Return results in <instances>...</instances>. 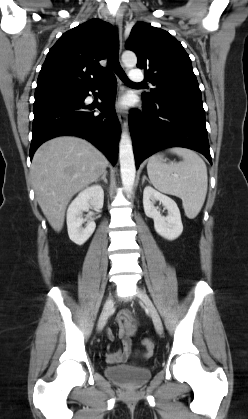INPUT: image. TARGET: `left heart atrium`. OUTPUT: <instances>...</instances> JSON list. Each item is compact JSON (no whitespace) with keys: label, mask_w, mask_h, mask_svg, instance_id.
<instances>
[{"label":"left heart atrium","mask_w":248,"mask_h":419,"mask_svg":"<svg viewBox=\"0 0 248 419\" xmlns=\"http://www.w3.org/2000/svg\"><path fill=\"white\" fill-rule=\"evenodd\" d=\"M130 98L129 97H126V98H124V100H123V104L124 105H128L129 103H130Z\"/></svg>","instance_id":"39dd6f15"}]
</instances>
